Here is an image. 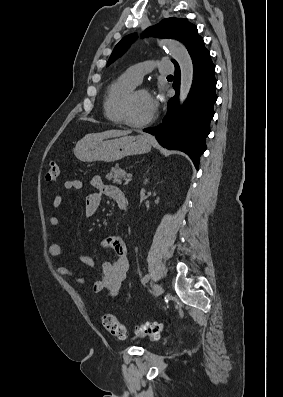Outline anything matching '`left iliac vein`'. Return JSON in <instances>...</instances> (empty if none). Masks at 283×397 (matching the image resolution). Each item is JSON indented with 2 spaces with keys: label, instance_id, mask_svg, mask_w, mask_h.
I'll return each mask as SVG.
<instances>
[{
  "label": "left iliac vein",
  "instance_id": "1",
  "mask_svg": "<svg viewBox=\"0 0 283 397\" xmlns=\"http://www.w3.org/2000/svg\"><path fill=\"white\" fill-rule=\"evenodd\" d=\"M162 293H163V288H162V286H161L160 284H156V285L154 286V291H153L154 296H155V297H158V296H160Z\"/></svg>",
  "mask_w": 283,
  "mask_h": 397
}]
</instances>
